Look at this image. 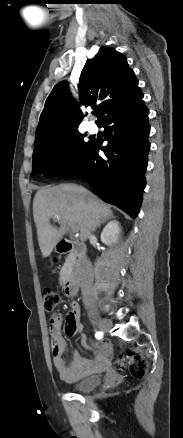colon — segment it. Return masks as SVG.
<instances>
[{"instance_id": "1", "label": "colon", "mask_w": 183, "mask_h": 438, "mask_svg": "<svg viewBox=\"0 0 183 438\" xmlns=\"http://www.w3.org/2000/svg\"><path fill=\"white\" fill-rule=\"evenodd\" d=\"M58 294L51 288H44L43 290V304L47 311H52L58 304ZM66 332L69 335L74 334L75 328L73 326H66ZM119 369L128 368L131 374L136 378H142L147 371V362L140 356H120L116 362Z\"/></svg>"}]
</instances>
